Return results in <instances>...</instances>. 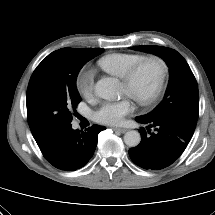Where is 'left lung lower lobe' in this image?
<instances>
[{"label":"left lung lower lobe","mask_w":215,"mask_h":215,"mask_svg":"<svg viewBox=\"0 0 215 215\" xmlns=\"http://www.w3.org/2000/svg\"><path fill=\"white\" fill-rule=\"evenodd\" d=\"M136 121L147 124L148 133L141 128V142L129 149L132 161L141 168L160 170L171 165L185 150L194 130L172 118L136 117ZM154 132L151 133V129Z\"/></svg>","instance_id":"left-lung-lower-lobe-1"}]
</instances>
